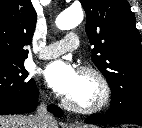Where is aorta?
<instances>
[{"label":"aorta","instance_id":"1","mask_svg":"<svg viewBox=\"0 0 142 128\" xmlns=\"http://www.w3.org/2000/svg\"><path fill=\"white\" fill-rule=\"evenodd\" d=\"M83 11L77 8H68L58 15L55 24L60 30H69L78 26L83 20Z\"/></svg>","mask_w":142,"mask_h":128}]
</instances>
